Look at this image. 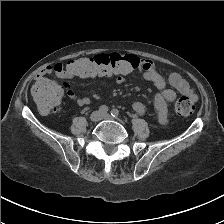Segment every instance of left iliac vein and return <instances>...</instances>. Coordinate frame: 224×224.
Segmentation results:
<instances>
[{"instance_id": "obj_1", "label": "left iliac vein", "mask_w": 224, "mask_h": 224, "mask_svg": "<svg viewBox=\"0 0 224 224\" xmlns=\"http://www.w3.org/2000/svg\"><path fill=\"white\" fill-rule=\"evenodd\" d=\"M102 119H112V116L110 114H103Z\"/></svg>"}]
</instances>
